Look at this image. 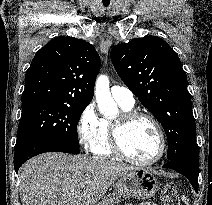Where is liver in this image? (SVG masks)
Returning <instances> with one entry per match:
<instances>
[{
  "label": "liver",
  "instance_id": "1",
  "mask_svg": "<svg viewBox=\"0 0 212 205\" xmlns=\"http://www.w3.org/2000/svg\"><path fill=\"white\" fill-rule=\"evenodd\" d=\"M135 169L86 155L44 153L19 169L20 198L22 205H95L115 180Z\"/></svg>",
  "mask_w": 212,
  "mask_h": 205
}]
</instances>
